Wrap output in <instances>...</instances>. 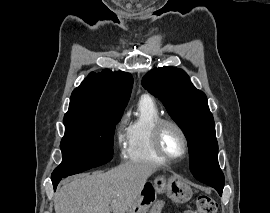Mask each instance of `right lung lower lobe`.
Wrapping results in <instances>:
<instances>
[{"label": "right lung lower lobe", "mask_w": 270, "mask_h": 213, "mask_svg": "<svg viewBox=\"0 0 270 213\" xmlns=\"http://www.w3.org/2000/svg\"><path fill=\"white\" fill-rule=\"evenodd\" d=\"M62 178H65V177H62ZM62 178H58V179L52 180L54 190L56 189L58 183L60 182V180H61Z\"/></svg>", "instance_id": "right-lung-lower-lobe-1"}]
</instances>
